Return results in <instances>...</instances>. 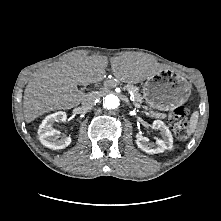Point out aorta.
Listing matches in <instances>:
<instances>
[{
  "label": "aorta",
  "mask_w": 221,
  "mask_h": 221,
  "mask_svg": "<svg viewBox=\"0 0 221 221\" xmlns=\"http://www.w3.org/2000/svg\"><path fill=\"white\" fill-rule=\"evenodd\" d=\"M119 104V98L113 94H108L103 99V105L108 110L116 109Z\"/></svg>",
  "instance_id": "aorta-1"
}]
</instances>
